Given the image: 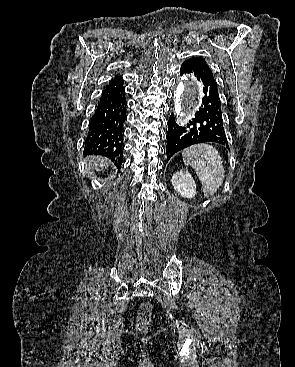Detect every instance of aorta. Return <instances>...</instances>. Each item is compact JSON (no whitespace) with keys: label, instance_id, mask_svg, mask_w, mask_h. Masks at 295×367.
Returning <instances> with one entry per match:
<instances>
[{"label":"aorta","instance_id":"obj_1","mask_svg":"<svg viewBox=\"0 0 295 367\" xmlns=\"http://www.w3.org/2000/svg\"><path fill=\"white\" fill-rule=\"evenodd\" d=\"M175 112L177 115L191 112L198 107L202 98L200 83L190 76H183L175 90Z\"/></svg>","mask_w":295,"mask_h":367}]
</instances>
